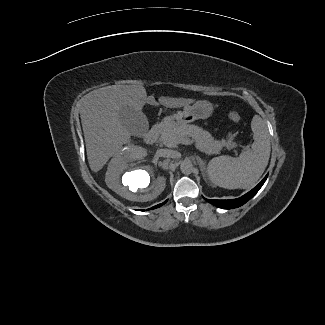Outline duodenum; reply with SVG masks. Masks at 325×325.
Segmentation results:
<instances>
[{
    "mask_svg": "<svg viewBox=\"0 0 325 325\" xmlns=\"http://www.w3.org/2000/svg\"><path fill=\"white\" fill-rule=\"evenodd\" d=\"M162 130V126L161 125H156L154 126L148 133L147 135L145 136V143L150 145V144H153L157 138L159 137L160 135V132Z\"/></svg>",
    "mask_w": 325,
    "mask_h": 325,
    "instance_id": "obj_1",
    "label": "duodenum"
}]
</instances>
